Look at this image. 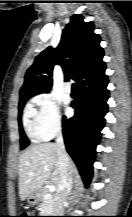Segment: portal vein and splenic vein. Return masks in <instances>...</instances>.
Instances as JSON below:
<instances>
[{"label":"portal vein and splenic vein","instance_id":"portal-vein-and-splenic-vein-1","mask_svg":"<svg viewBox=\"0 0 132 217\" xmlns=\"http://www.w3.org/2000/svg\"><path fill=\"white\" fill-rule=\"evenodd\" d=\"M48 188H49L50 192H54L55 191V187L53 185H50Z\"/></svg>","mask_w":132,"mask_h":217}]
</instances>
